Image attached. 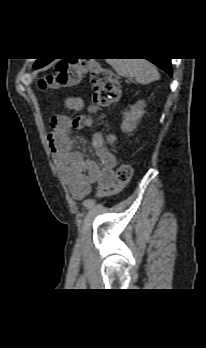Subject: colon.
I'll list each match as a JSON object with an SVG mask.
<instances>
[{
	"label": "colon",
	"mask_w": 206,
	"mask_h": 348,
	"mask_svg": "<svg viewBox=\"0 0 206 348\" xmlns=\"http://www.w3.org/2000/svg\"><path fill=\"white\" fill-rule=\"evenodd\" d=\"M85 74H89L91 79L92 111L109 106L119 99L120 85L115 73L91 57L60 60L54 73L46 74L39 80V87L42 90L66 88L78 83ZM82 122L83 117L77 116L72 123L74 127H80ZM107 141L114 146L116 137L110 134ZM131 175V167L126 163H120L115 171V183L100 186L98 196L106 197L119 193L128 184Z\"/></svg>",
	"instance_id": "1"
}]
</instances>
